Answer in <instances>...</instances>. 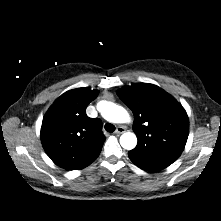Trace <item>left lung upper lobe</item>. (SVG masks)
I'll list each match as a JSON object with an SVG mask.
<instances>
[{"label": "left lung upper lobe", "instance_id": "left-lung-upper-lobe-1", "mask_svg": "<svg viewBox=\"0 0 221 221\" xmlns=\"http://www.w3.org/2000/svg\"><path fill=\"white\" fill-rule=\"evenodd\" d=\"M134 114L133 129L138 138L132 150L140 153L179 157L189 134L186 111L160 87L137 83L117 91Z\"/></svg>", "mask_w": 221, "mask_h": 221}]
</instances>
